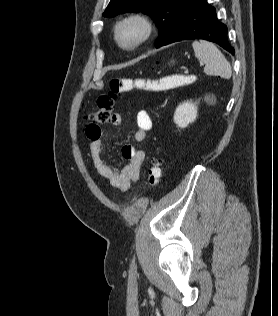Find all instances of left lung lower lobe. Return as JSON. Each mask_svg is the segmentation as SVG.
I'll return each mask as SVG.
<instances>
[{
	"mask_svg": "<svg viewBox=\"0 0 278 316\" xmlns=\"http://www.w3.org/2000/svg\"><path fill=\"white\" fill-rule=\"evenodd\" d=\"M227 31V27L218 21L215 8L206 0H189L172 35L163 45L182 40L204 39L219 44L234 55V48L227 39Z\"/></svg>",
	"mask_w": 278,
	"mask_h": 316,
	"instance_id": "0a47b994",
	"label": "left lung lower lobe"
}]
</instances>
